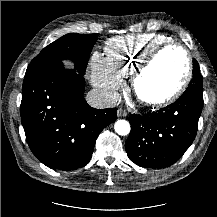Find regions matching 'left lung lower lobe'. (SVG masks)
<instances>
[{"label":"left lung lower lobe","mask_w":217,"mask_h":217,"mask_svg":"<svg viewBox=\"0 0 217 217\" xmlns=\"http://www.w3.org/2000/svg\"><path fill=\"white\" fill-rule=\"evenodd\" d=\"M202 93L186 89L176 102L157 112L130 115L131 132L125 143L130 160L147 168L174 164L196 136Z\"/></svg>","instance_id":"0a47b994"}]
</instances>
